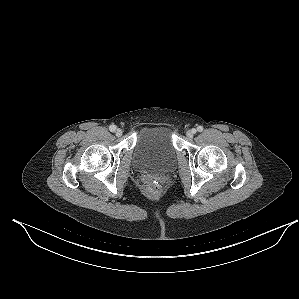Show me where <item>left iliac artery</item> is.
Returning a JSON list of instances; mask_svg holds the SVG:
<instances>
[{
    "mask_svg": "<svg viewBox=\"0 0 299 299\" xmlns=\"http://www.w3.org/2000/svg\"><path fill=\"white\" fill-rule=\"evenodd\" d=\"M197 130H198L199 132H202V131H203V127H202V126H198V127H197Z\"/></svg>",
    "mask_w": 299,
    "mask_h": 299,
    "instance_id": "1",
    "label": "left iliac artery"
}]
</instances>
